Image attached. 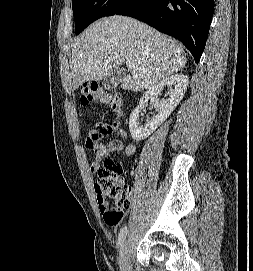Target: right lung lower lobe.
Segmentation results:
<instances>
[{"mask_svg":"<svg viewBox=\"0 0 253 271\" xmlns=\"http://www.w3.org/2000/svg\"><path fill=\"white\" fill-rule=\"evenodd\" d=\"M214 13V0H126L114 15L143 21L180 40L198 63Z\"/></svg>","mask_w":253,"mask_h":271,"instance_id":"obj_1","label":"right lung lower lobe"}]
</instances>
